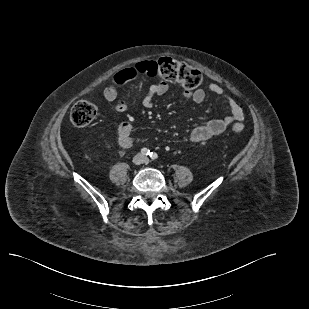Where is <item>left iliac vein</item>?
<instances>
[{
	"label": "left iliac vein",
	"instance_id": "left-iliac-vein-1",
	"mask_svg": "<svg viewBox=\"0 0 309 309\" xmlns=\"http://www.w3.org/2000/svg\"><path fill=\"white\" fill-rule=\"evenodd\" d=\"M144 162H148V159H147V158H144Z\"/></svg>",
	"mask_w": 309,
	"mask_h": 309
}]
</instances>
